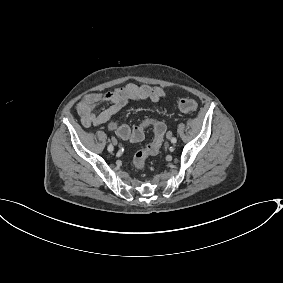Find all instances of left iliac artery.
Returning <instances> with one entry per match:
<instances>
[{
  "instance_id": "44dca946",
  "label": "left iliac artery",
  "mask_w": 283,
  "mask_h": 283,
  "mask_svg": "<svg viewBox=\"0 0 283 283\" xmlns=\"http://www.w3.org/2000/svg\"><path fill=\"white\" fill-rule=\"evenodd\" d=\"M171 142H172L173 144H175V143L177 142V139H176L175 137H172V138H171Z\"/></svg>"
}]
</instances>
